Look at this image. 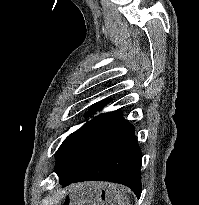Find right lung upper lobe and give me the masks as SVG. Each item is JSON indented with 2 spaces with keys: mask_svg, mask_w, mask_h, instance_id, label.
Returning <instances> with one entry per match:
<instances>
[{
  "mask_svg": "<svg viewBox=\"0 0 199 205\" xmlns=\"http://www.w3.org/2000/svg\"><path fill=\"white\" fill-rule=\"evenodd\" d=\"M109 102H110V99H105L103 101H100V102L92 105L90 107V110H91V112L99 111L104 106H106ZM103 115H106V116H109V117H112V118H117V119H122V116H123L122 112H120V111H113V112H110V113H103Z\"/></svg>",
  "mask_w": 199,
  "mask_h": 205,
  "instance_id": "1",
  "label": "right lung upper lobe"
}]
</instances>
